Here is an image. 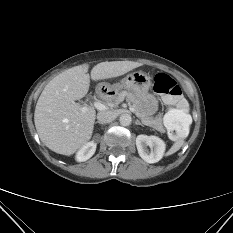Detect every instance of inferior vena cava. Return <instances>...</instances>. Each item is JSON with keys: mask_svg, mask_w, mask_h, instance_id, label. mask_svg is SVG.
I'll return each mask as SVG.
<instances>
[{"mask_svg": "<svg viewBox=\"0 0 233 233\" xmlns=\"http://www.w3.org/2000/svg\"><path fill=\"white\" fill-rule=\"evenodd\" d=\"M116 118L114 111H103L99 112L97 115L98 122L100 124H106L113 121Z\"/></svg>", "mask_w": 233, "mask_h": 233, "instance_id": "602c4592", "label": "inferior vena cava"}]
</instances>
